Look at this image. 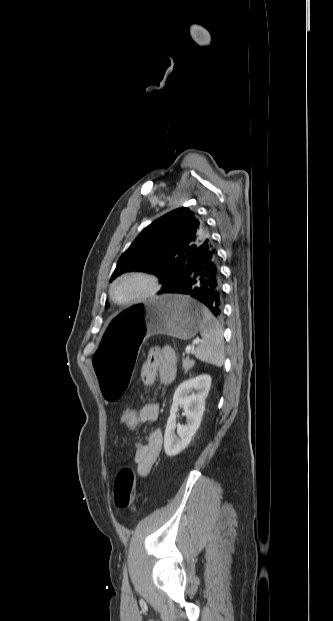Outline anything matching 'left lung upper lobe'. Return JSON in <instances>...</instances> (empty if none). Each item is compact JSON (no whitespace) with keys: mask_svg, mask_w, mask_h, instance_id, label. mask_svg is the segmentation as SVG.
Returning <instances> with one entry per match:
<instances>
[{"mask_svg":"<svg viewBox=\"0 0 333 621\" xmlns=\"http://www.w3.org/2000/svg\"><path fill=\"white\" fill-rule=\"evenodd\" d=\"M211 239L206 222L188 208L175 209L147 226L119 258L113 281L127 271L156 275L161 292L182 273L196 249Z\"/></svg>","mask_w":333,"mask_h":621,"instance_id":"1","label":"left lung upper lobe"}]
</instances>
